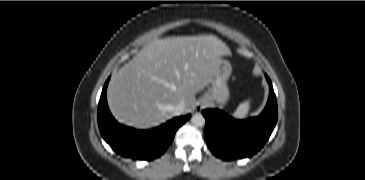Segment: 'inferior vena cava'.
Instances as JSON below:
<instances>
[{"label": "inferior vena cava", "mask_w": 365, "mask_h": 180, "mask_svg": "<svg viewBox=\"0 0 365 180\" xmlns=\"http://www.w3.org/2000/svg\"><path fill=\"white\" fill-rule=\"evenodd\" d=\"M184 109H185V103H184L183 101L179 102V103L175 106V108H174V110H175V112H176L177 114H181V113H183V112H184Z\"/></svg>", "instance_id": "obj_1"}]
</instances>
